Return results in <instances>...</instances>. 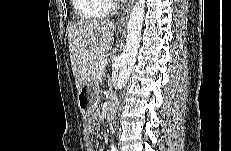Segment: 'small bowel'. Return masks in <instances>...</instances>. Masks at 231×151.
<instances>
[{"instance_id":"obj_1","label":"small bowel","mask_w":231,"mask_h":151,"mask_svg":"<svg viewBox=\"0 0 231 151\" xmlns=\"http://www.w3.org/2000/svg\"><path fill=\"white\" fill-rule=\"evenodd\" d=\"M97 114H94L92 118H88L84 122V134H85V146L86 151H94L93 142L91 140L90 134L92 131V122L93 118H95Z\"/></svg>"}]
</instances>
